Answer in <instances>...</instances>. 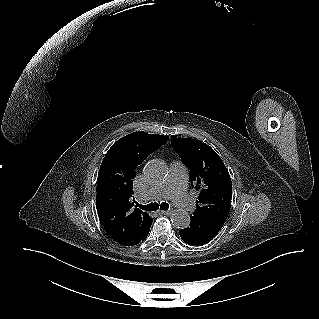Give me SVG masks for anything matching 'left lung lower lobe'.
Returning a JSON list of instances; mask_svg holds the SVG:
<instances>
[{
    "label": "left lung lower lobe",
    "mask_w": 319,
    "mask_h": 319,
    "mask_svg": "<svg viewBox=\"0 0 319 319\" xmlns=\"http://www.w3.org/2000/svg\"><path fill=\"white\" fill-rule=\"evenodd\" d=\"M190 226L180 230V236L189 245H203L220 231L226 218L211 215L190 216Z\"/></svg>",
    "instance_id": "0a47b994"
}]
</instances>
